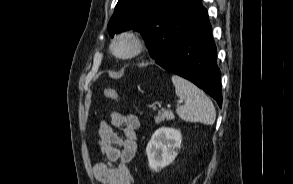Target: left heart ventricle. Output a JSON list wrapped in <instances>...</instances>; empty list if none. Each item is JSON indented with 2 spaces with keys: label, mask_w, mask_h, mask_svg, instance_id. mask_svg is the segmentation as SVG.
<instances>
[{
  "label": "left heart ventricle",
  "mask_w": 293,
  "mask_h": 184,
  "mask_svg": "<svg viewBox=\"0 0 293 184\" xmlns=\"http://www.w3.org/2000/svg\"><path fill=\"white\" fill-rule=\"evenodd\" d=\"M130 49H131V45H130L129 41H127V40L121 41L120 43H118V45L116 47V50L119 53H127L128 51H130Z\"/></svg>",
  "instance_id": "b2bd125f"
}]
</instances>
